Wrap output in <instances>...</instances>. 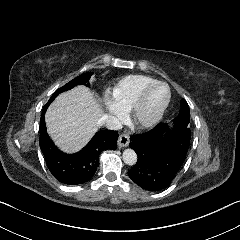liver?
Returning a JSON list of instances; mask_svg holds the SVG:
<instances>
[{
	"instance_id": "liver-1",
	"label": "liver",
	"mask_w": 240,
	"mask_h": 240,
	"mask_svg": "<svg viewBox=\"0 0 240 240\" xmlns=\"http://www.w3.org/2000/svg\"><path fill=\"white\" fill-rule=\"evenodd\" d=\"M106 110L98 95L80 84L59 93L45 112L46 131L63 154L80 153L99 131L97 125Z\"/></svg>"
}]
</instances>
